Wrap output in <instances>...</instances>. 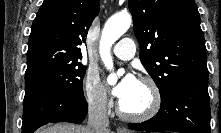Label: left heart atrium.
<instances>
[{"mask_svg":"<svg viewBox=\"0 0 221 133\" xmlns=\"http://www.w3.org/2000/svg\"><path fill=\"white\" fill-rule=\"evenodd\" d=\"M138 83L139 80L136 78V76L129 72L112 89V94L122 102L134 92Z\"/></svg>","mask_w":221,"mask_h":133,"instance_id":"39dd6f15","label":"left heart atrium"}]
</instances>
